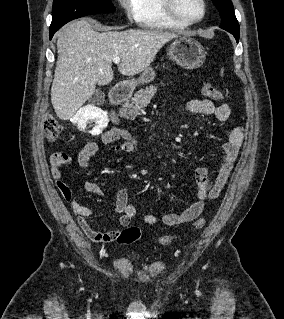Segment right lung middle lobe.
Segmentation results:
<instances>
[{
	"label": "right lung middle lobe",
	"mask_w": 284,
	"mask_h": 319,
	"mask_svg": "<svg viewBox=\"0 0 284 319\" xmlns=\"http://www.w3.org/2000/svg\"><path fill=\"white\" fill-rule=\"evenodd\" d=\"M114 11L110 0H54L50 30H58L67 22L86 15Z\"/></svg>",
	"instance_id": "dd1d6c3e"
}]
</instances>
